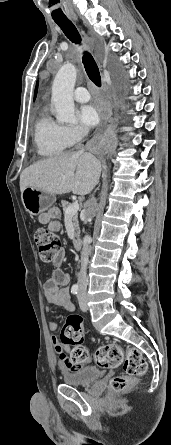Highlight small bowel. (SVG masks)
Listing matches in <instances>:
<instances>
[{
    "label": "small bowel",
    "mask_w": 171,
    "mask_h": 445,
    "mask_svg": "<svg viewBox=\"0 0 171 445\" xmlns=\"http://www.w3.org/2000/svg\"><path fill=\"white\" fill-rule=\"evenodd\" d=\"M48 228L53 232H58L60 230V225L56 221H51L48 223ZM65 256L64 249H60L53 261V265L56 269L52 272L51 277L44 283V297L48 303V306L46 307L47 311H50V305L58 306L65 312H72L74 310L68 290L70 276L67 272L59 269L65 260ZM48 329L51 332L57 331L58 323L56 321H50L48 323ZM51 343L59 354V361L63 368L75 370L83 367L82 363H74L70 360L68 354L69 347L67 345H62L56 335L51 336Z\"/></svg>",
    "instance_id": "small-bowel-1"
}]
</instances>
